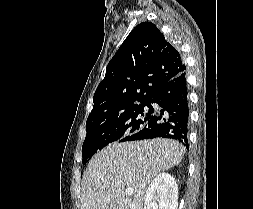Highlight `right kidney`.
Returning a JSON list of instances; mask_svg holds the SVG:
<instances>
[{"label": "right kidney", "mask_w": 253, "mask_h": 209, "mask_svg": "<svg viewBox=\"0 0 253 209\" xmlns=\"http://www.w3.org/2000/svg\"><path fill=\"white\" fill-rule=\"evenodd\" d=\"M178 186L168 173L158 174L149 185L144 198V209H177Z\"/></svg>", "instance_id": "obj_1"}]
</instances>
